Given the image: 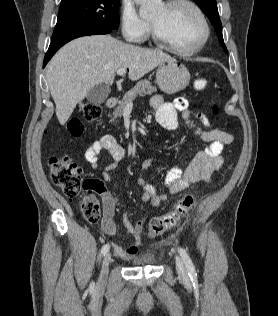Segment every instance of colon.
Wrapping results in <instances>:
<instances>
[{"mask_svg":"<svg viewBox=\"0 0 278 316\" xmlns=\"http://www.w3.org/2000/svg\"><path fill=\"white\" fill-rule=\"evenodd\" d=\"M206 79H197L194 82V88L198 91L205 89ZM79 113L86 121H95L101 111L98 107L83 104L78 108ZM214 113L218 112L215 107ZM68 133L73 137L82 135L84 127L79 117H72L66 124ZM49 174L52 183L58 187L66 197H80L81 211L90 223H97L101 219L100 203L97 194L103 189V185L96 179H83L81 167L73 160L62 158H51L48 163ZM195 197L192 194L183 196L172 208L171 211L153 217L148 225V234L150 237H157L169 229L175 227L180 220L185 217L195 205ZM129 253H136L134 246L128 247Z\"/></svg>","mask_w":278,"mask_h":316,"instance_id":"obj_1","label":"colon"}]
</instances>
